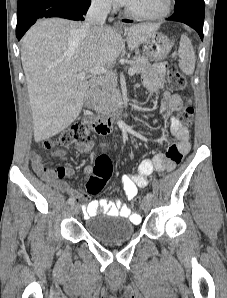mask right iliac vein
I'll list each match as a JSON object with an SVG mask.
<instances>
[{
  "mask_svg": "<svg viewBox=\"0 0 227 298\" xmlns=\"http://www.w3.org/2000/svg\"><path fill=\"white\" fill-rule=\"evenodd\" d=\"M71 212L73 215H77L80 212V206L78 204H72Z\"/></svg>",
  "mask_w": 227,
  "mask_h": 298,
  "instance_id": "63e3f726",
  "label": "right iliac vein"
}]
</instances>
